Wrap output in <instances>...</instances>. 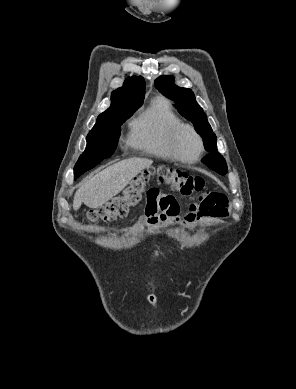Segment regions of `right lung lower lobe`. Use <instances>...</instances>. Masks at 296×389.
Listing matches in <instances>:
<instances>
[{
	"mask_svg": "<svg viewBox=\"0 0 296 389\" xmlns=\"http://www.w3.org/2000/svg\"><path fill=\"white\" fill-rule=\"evenodd\" d=\"M94 166H96V165L95 164H85L83 166H79L77 168H74V177H75V179L78 178L85 171L93 168Z\"/></svg>",
	"mask_w": 296,
	"mask_h": 389,
	"instance_id": "1",
	"label": "right lung lower lobe"
}]
</instances>
